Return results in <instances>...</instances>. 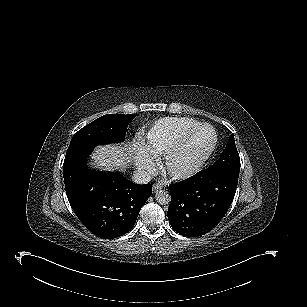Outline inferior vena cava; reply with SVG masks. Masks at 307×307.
Returning a JSON list of instances; mask_svg holds the SVG:
<instances>
[{"instance_id": "1", "label": "inferior vena cava", "mask_w": 307, "mask_h": 307, "mask_svg": "<svg viewBox=\"0 0 307 307\" xmlns=\"http://www.w3.org/2000/svg\"><path fill=\"white\" fill-rule=\"evenodd\" d=\"M152 180V176L144 170L133 172L132 181L136 184H147Z\"/></svg>"}]
</instances>
